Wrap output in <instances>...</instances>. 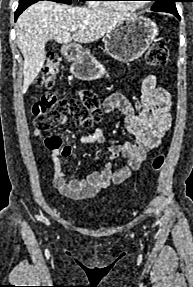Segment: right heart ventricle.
I'll return each instance as SVG.
<instances>
[{
    "instance_id": "right-heart-ventricle-1",
    "label": "right heart ventricle",
    "mask_w": 193,
    "mask_h": 287,
    "mask_svg": "<svg viewBox=\"0 0 193 287\" xmlns=\"http://www.w3.org/2000/svg\"><path fill=\"white\" fill-rule=\"evenodd\" d=\"M99 7L102 8V9H106V10L130 11L129 7H127L125 5H121L119 3H116L113 0L104 1V3H101L99 5Z\"/></svg>"
}]
</instances>
